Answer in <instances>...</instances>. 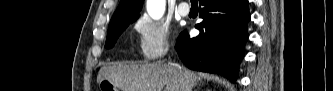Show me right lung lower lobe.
Masks as SVG:
<instances>
[{"mask_svg": "<svg viewBox=\"0 0 333 91\" xmlns=\"http://www.w3.org/2000/svg\"><path fill=\"white\" fill-rule=\"evenodd\" d=\"M199 3L203 7L199 10L203 21L195 27L200 34L190 38L187 32H182L175 49L188 68L216 72L235 82L248 38V0H199Z\"/></svg>", "mask_w": 333, "mask_h": 91, "instance_id": "obj_1", "label": "right lung lower lobe"}]
</instances>
